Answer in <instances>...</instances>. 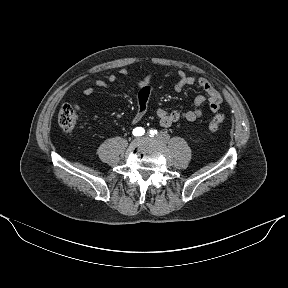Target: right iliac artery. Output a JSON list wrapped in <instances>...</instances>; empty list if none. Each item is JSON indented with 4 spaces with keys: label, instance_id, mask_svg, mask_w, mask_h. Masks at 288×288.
<instances>
[{
    "label": "right iliac artery",
    "instance_id": "right-iliac-artery-1",
    "mask_svg": "<svg viewBox=\"0 0 288 288\" xmlns=\"http://www.w3.org/2000/svg\"><path fill=\"white\" fill-rule=\"evenodd\" d=\"M145 133V130L142 127H137L133 130L134 136H142Z\"/></svg>",
    "mask_w": 288,
    "mask_h": 288
}]
</instances>
